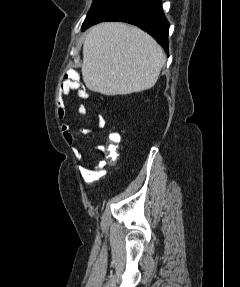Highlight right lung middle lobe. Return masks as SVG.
<instances>
[{
    "instance_id": "obj_1",
    "label": "right lung middle lobe",
    "mask_w": 240,
    "mask_h": 287,
    "mask_svg": "<svg viewBox=\"0 0 240 287\" xmlns=\"http://www.w3.org/2000/svg\"><path fill=\"white\" fill-rule=\"evenodd\" d=\"M109 1L110 0H94L91 9L88 12L87 18L82 25L83 30L92 22V20L99 14V12Z\"/></svg>"
}]
</instances>
